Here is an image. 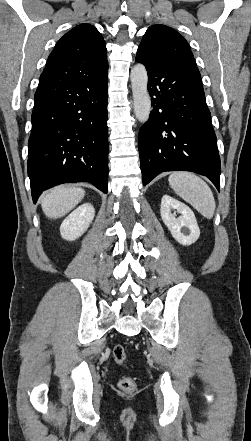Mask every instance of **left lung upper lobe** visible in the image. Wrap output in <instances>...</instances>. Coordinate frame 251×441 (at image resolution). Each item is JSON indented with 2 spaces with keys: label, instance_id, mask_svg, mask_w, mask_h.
<instances>
[{
  "label": "left lung upper lobe",
  "instance_id": "5c2ea615",
  "mask_svg": "<svg viewBox=\"0 0 251 441\" xmlns=\"http://www.w3.org/2000/svg\"><path fill=\"white\" fill-rule=\"evenodd\" d=\"M137 55L154 63L173 65L200 74L188 42L174 29L157 24L148 28Z\"/></svg>",
  "mask_w": 251,
  "mask_h": 441
}]
</instances>
